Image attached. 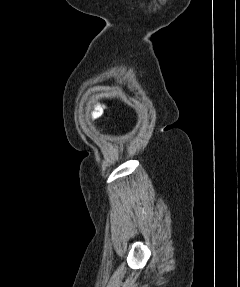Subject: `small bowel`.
I'll return each instance as SVG.
<instances>
[{
  "label": "small bowel",
  "mask_w": 240,
  "mask_h": 287,
  "mask_svg": "<svg viewBox=\"0 0 240 287\" xmlns=\"http://www.w3.org/2000/svg\"><path fill=\"white\" fill-rule=\"evenodd\" d=\"M102 115V110L99 105L93 104V111L90 113L89 117L91 120H96Z\"/></svg>",
  "instance_id": "obj_1"
}]
</instances>
